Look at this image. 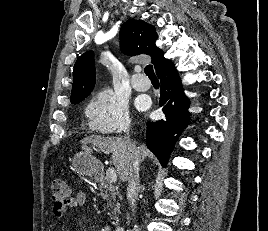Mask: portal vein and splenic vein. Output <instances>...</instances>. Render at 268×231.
Segmentation results:
<instances>
[{
  "instance_id": "1",
  "label": "portal vein and splenic vein",
  "mask_w": 268,
  "mask_h": 231,
  "mask_svg": "<svg viewBox=\"0 0 268 231\" xmlns=\"http://www.w3.org/2000/svg\"><path fill=\"white\" fill-rule=\"evenodd\" d=\"M106 178L110 183H114L117 181V174L114 167H108L106 170Z\"/></svg>"
}]
</instances>
